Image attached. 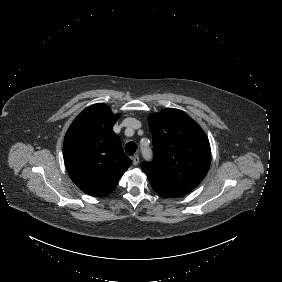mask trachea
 <instances>
[{"label":"trachea","instance_id":"obj_1","mask_svg":"<svg viewBox=\"0 0 282 282\" xmlns=\"http://www.w3.org/2000/svg\"><path fill=\"white\" fill-rule=\"evenodd\" d=\"M137 150V144L135 142H128L125 145V151L128 155H133Z\"/></svg>","mask_w":282,"mask_h":282}]
</instances>
